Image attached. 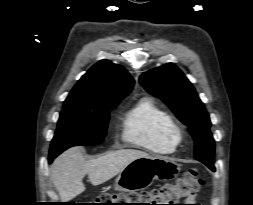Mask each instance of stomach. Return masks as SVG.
Returning <instances> with one entry per match:
<instances>
[{
  "instance_id": "stomach-1",
  "label": "stomach",
  "mask_w": 253,
  "mask_h": 205,
  "mask_svg": "<svg viewBox=\"0 0 253 205\" xmlns=\"http://www.w3.org/2000/svg\"><path fill=\"white\" fill-rule=\"evenodd\" d=\"M180 165L159 156L140 157L130 162L118 175L115 189L131 192L149 187L155 179L166 181L177 177Z\"/></svg>"
}]
</instances>
